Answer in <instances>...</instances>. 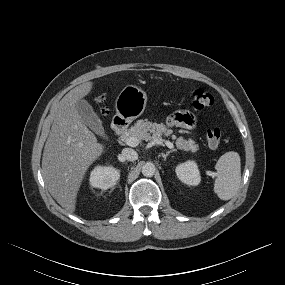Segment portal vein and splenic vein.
<instances>
[{
  "label": "portal vein and splenic vein",
  "mask_w": 285,
  "mask_h": 285,
  "mask_svg": "<svg viewBox=\"0 0 285 285\" xmlns=\"http://www.w3.org/2000/svg\"><path fill=\"white\" fill-rule=\"evenodd\" d=\"M125 143L128 146L136 147L140 143V140L137 137H133L132 136V137H128L127 139H125ZM155 144L166 145L168 148H173L174 147L173 143H171L170 141H167V140H157V141H155Z\"/></svg>",
  "instance_id": "18ae733b"
}]
</instances>
